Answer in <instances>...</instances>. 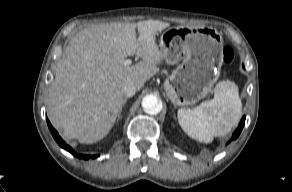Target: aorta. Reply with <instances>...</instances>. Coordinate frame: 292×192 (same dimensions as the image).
Listing matches in <instances>:
<instances>
[{
    "label": "aorta",
    "mask_w": 292,
    "mask_h": 192,
    "mask_svg": "<svg viewBox=\"0 0 292 192\" xmlns=\"http://www.w3.org/2000/svg\"><path fill=\"white\" fill-rule=\"evenodd\" d=\"M142 107L146 113L151 115L158 114L162 109L161 102L155 95L152 94L146 95L143 98Z\"/></svg>",
    "instance_id": "aorta-1"
}]
</instances>
